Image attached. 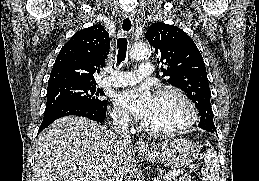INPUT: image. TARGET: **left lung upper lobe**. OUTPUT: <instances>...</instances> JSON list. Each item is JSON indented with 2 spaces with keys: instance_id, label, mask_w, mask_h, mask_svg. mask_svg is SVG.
Wrapping results in <instances>:
<instances>
[{
  "instance_id": "obj_1",
  "label": "left lung upper lobe",
  "mask_w": 259,
  "mask_h": 181,
  "mask_svg": "<svg viewBox=\"0 0 259 181\" xmlns=\"http://www.w3.org/2000/svg\"><path fill=\"white\" fill-rule=\"evenodd\" d=\"M146 39L155 48L157 62L168 83L183 90L199 110V127L216 131L210 104L211 92L203 57L194 41L180 28L165 23H153Z\"/></svg>"
}]
</instances>
